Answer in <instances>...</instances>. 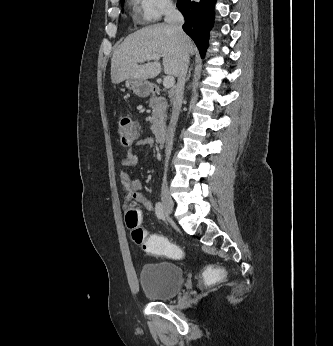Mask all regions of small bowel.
<instances>
[{
	"instance_id": "1",
	"label": "small bowel",
	"mask_w": 333,
	"mask_h": 346,
	"mask_svg": "<svg viewBox=\"0 0 333 346\" xmlns=\"http://www.w3.org/2000/svg\"><path fill=\"white\" fill-rule=\"evenodd\" d=\"M154 145V140L152 138H142L137 140V147H145ZM141 160V156L136 154L133 149H129L126 156L122 160L123 166L136 165ZM121 183L124 187L127 200H135L142 205L148 211H153L154 206L152 202L145 197L142 191V183L132 178L129 172L122 171L120 174Z\"/></svg>"
}]
</instances>
